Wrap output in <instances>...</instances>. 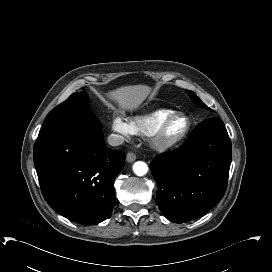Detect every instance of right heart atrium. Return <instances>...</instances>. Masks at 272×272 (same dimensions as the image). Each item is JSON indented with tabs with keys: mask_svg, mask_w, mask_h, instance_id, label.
I'll return each instance as SVG.
<instances>
[{
	"mask_svg": "<svg viewBox=\"0 0 272 272\" xmlns=\"http://www.w3.org/2000/svg\"><path fill=\"white\" fill-rule=\"evenodd\" d=\"M111 127L115 136L120 139H126L134 133L131 121L120 114L113 117Z\"/></svg>",
	"mask_w": 272,
	"mask_h": 272,
	"instance_id": "d8ad5b80",
	"label": "right heart atrium"
}]
</instances>
